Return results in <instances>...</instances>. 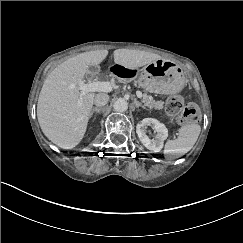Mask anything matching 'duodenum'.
I'll use <instances>...</instances> for the list:
<instances>
[{
    "label": "duodenum",
    "instance_id": "410a0bca",
    "mask_svg": "<svg viewBox=\"0 0 243 243\" xmlns=\"http://www.w3.org/2000/svg\"><path fill=\"white\" fill-rule=\"evenodd\" d=\"M109 72L119 79H130L136 75V70L126 64L117 63L109 68Z\"/></svg>",
    "mask_w": 243,
    "mask_h": 243
}]
</instances>
